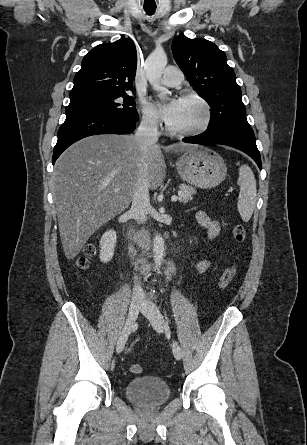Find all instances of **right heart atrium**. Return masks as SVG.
<instances>
[{
	"label": "right heart atrium",
	"instance_id": "obj_1",
	"mask_svg": "<svg viewBox=\"0 0 307 445\" xmlns=\"http://www.w3.org/2000/svg\"><path fill=\"white\" fill-rule=\"evenodd\" d=\"M142 124L148 131H157L160 127V118L155 110L149 105H144L142 109Z\"/></svg>",
	"mask_w": 307,
	"mask_h": 445
}]
</instances>
